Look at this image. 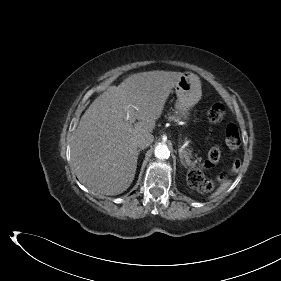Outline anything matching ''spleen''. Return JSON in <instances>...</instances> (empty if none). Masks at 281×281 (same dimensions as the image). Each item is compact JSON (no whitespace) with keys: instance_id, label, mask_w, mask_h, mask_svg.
<instances>
[{"instance_id":"3e777b00","label":"spleen","mask_w":281,"mask_h":281,"mask_svg":"<svg viewBox=\"0 0 281 281\" xmlns=\"http://www.w3.org/2000/svg\"><path fill=\"white\" fill-rule=\"evenodd\" d=\"M231 185V180L223 182L215 193L211 195V198H215L223 193Z\"/></svg>"}]
</instances>
